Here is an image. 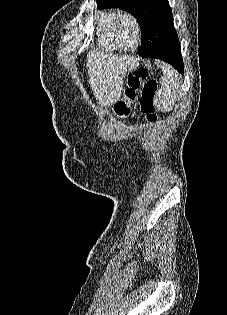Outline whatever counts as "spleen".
I'll return each instance as SVG.
<instances>
[{
    "label": "spleen",
    "instance_id": "obj_1",
    "mask_svg": "<svg viewBox=\"0 0 227 315\" xmlns=\"http://www.w3.org/2000/svg\"><path fill=\"white\" fill-rule=\"evenodd\" d=\"M164 79L162 86L157 93V106L160 110L170 111L176 101L179 90L178 75L170 67L163 68Z\"/></svg>",
    "mask_w": 227,
    "mask_h": 315
}]
</instances>
